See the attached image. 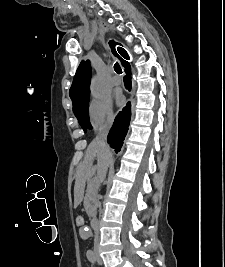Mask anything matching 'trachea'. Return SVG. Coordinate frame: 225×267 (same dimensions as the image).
Returning a JSON list of instances; mask_svg holds the SVG:
<instances>
[{
    "instance_id": "trachea-1",
    "label": "trachea",
    "mask_w": 225,
    "mask_h": 267,
    "mask_svg": "<svg viewBox=\"0 0 225 267\" xmlns=\"http://www.w3.org/2000/svg\"><path fill=\"white\" fill-rule=\"evenodd\" d=\"M114 70L118 74L122 73V69H121L120 65L117 62L114 64Z\"/></svg>"
}]
</instances>
